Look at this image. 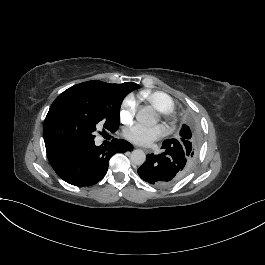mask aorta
<instances>
[{"label":"aorta","instance_id":"762f6f07","mask_svg":"<svg viewBox=\"0 0 265 265\" xmlns=\"http://www.w3.org/2000/svg\"><path fill=\"white\" fill-rule=\"evenodd\" d=\"M136 119L142 124L152 125L155 122V117L152 108H142L138 112ZM130 158L132 163H134L135 165H142L146 160V155L143 150L136 149L132 151Z\"/></svg>","mask_w":265,"mask_h":265}]
</instances>
